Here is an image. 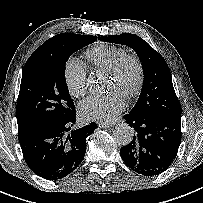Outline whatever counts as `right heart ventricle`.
Masks as SVG:
<instances>
[{"instance_id": "obj_1", "label": "right heart ventricle", "mask_w": 203, "mask_h": 203, "mask_svg": "<svg viewBox=\"0 0 203 203\" xmlns=\"http://www.w3.org/2000/svg\"><path fill=\"white\" fill-rule=\"evenodd\" d=\"M124 53L122 47L101 43L87 49L84 57L90 67L108 71Z\"/></svg>"}]
</instances>
